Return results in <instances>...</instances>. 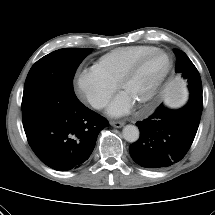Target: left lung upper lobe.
I'll return each mask as SVG.
<instances>
[{
	"label": "left lung upper lobe",
	"mask_w": 215,
	"mask_h": 215,
	"mask_svg": "<svg viewBox=\"0 0 215 215\" xmlns=\"http://www.w3.org/2000/svg\"><path fill=\"white\" fill-rule=\"evenodd\" d=\"M174 51L177 57L176 73L188 79L191 95L202 98V83L198 70L183 51L178 49Z\"/></svg>",
	"instance_id": "5c2ea615"
}]
</instances>
